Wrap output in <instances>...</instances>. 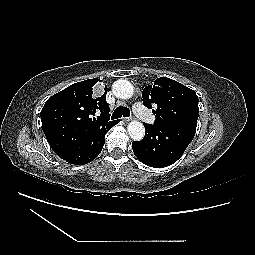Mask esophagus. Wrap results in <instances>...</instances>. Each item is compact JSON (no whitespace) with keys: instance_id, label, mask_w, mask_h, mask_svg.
<instances>
[{"instance_id":"obj_1","label":"esophagus","mask_w":255,"mask_h":255,"mask_svg":"<svg viewBox=\"0 0 255 255\" xmlns=\"http://www.w3.org/2000/svg\"><path fill=\"white\" fill-rule=\"evenodd\" d=\"M132 119H133V118H131V117H125V118H123V121L126 122V123H128V122H130Z\"/></svg>"}]
</instances>
